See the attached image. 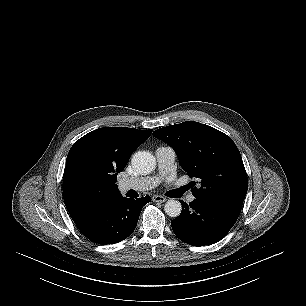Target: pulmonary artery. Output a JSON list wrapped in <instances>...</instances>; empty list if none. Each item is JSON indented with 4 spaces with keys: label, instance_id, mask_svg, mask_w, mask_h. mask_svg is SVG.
Instances as JSON below:
<instances>
[{
    "label": "pulmonary artery",
    "instance_id": "obj_1",
    "mask_svg": "<svg viewBox=\"0 0 306 306\" xmlns=\"http://www.w3.org/2000/svg\"><path fill=\"white\" fill-rule=\"evenodd\" d=\"M156 160L158 174L152 176L127 178L118 182V188L121 192L128 190L146 191L156 187L162 177L166 175L172 168L176 154L175 151L169 146H161L156 150ZM188 201L192 202L195 198L193 195L188 196Z\"/></svg>",
    "mask_w": 306,
    "mask_h": 306
}]
</instances>
